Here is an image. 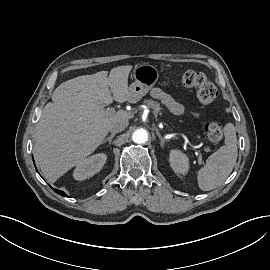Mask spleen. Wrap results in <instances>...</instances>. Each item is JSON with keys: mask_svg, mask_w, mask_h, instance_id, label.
Segmentation results:
<instances>
[{"mask_svg": "<svg viewBox=\"0 0 270 270\" xmlns=\"http://www.w3.org/2000/svg\"><path fill=\"white\" fill-rule=\"evenodd\" d=\"M225 145L211 154L197 172L199 188L210 191L222 184L233 170L237 160V137L233 124L228 123L224 128Z\"/></svg>", "mask_w": 270, "mask_h": 270, "instance_id": "3e777b00", "label": "spleen"}]
</instances>
